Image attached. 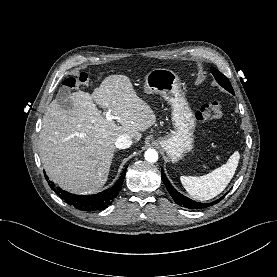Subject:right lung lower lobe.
<instances>
[{
  "instance_id": "98d812e1",
  "label": "right lung lower lobe",
  "mask_w": 277,
  "mask_h": 277,
  "mask_svg": "<svg viewBox=\"0 0 277 277\" xmlns=\"http://www.w3.org/2000/svg\"><path fill=\"white\" fill-rule=\"evenodd\" d=\"M127 167L123 170L122 175L120 176L119 180L115 183V185L109 189H106L105 191L98 193L96 195H88V196H79L70 194L66 191H63L59 187H55L54 183L48 181L49 186L55 190V193L61 197L63 200H65L66 203L74 206L77 209L83 210V211H96V210H102L109 206L113 199L117 196L119 193L124 177L126 174ZM46 180H48L47 176L45 175Z\"/></svg>"
}]
</instances>
